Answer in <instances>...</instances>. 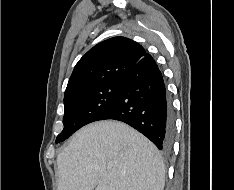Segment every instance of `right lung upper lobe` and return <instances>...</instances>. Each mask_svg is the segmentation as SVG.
<instances>
[{"mask_svg":"<svg viewBox=\"0 0 234 190\" xmlns=\"http://www.w3.org/2000/svg\"><path fill=\"white\" fill-rule=\"evenodd\" d=\"M146 54L141 45L125 37H113L100 42L76 64L64 99L83 90L122 80L126 72Z\"/></svg>","mask_w":234,"mask_h":190,"instance_id":"obj_1","label":"right lung upper lobe"}]
</instances>
